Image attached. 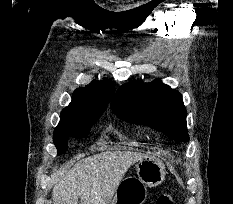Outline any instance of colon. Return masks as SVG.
Here are the masks:
<instances>
[{
    "label": "colon",
    "mask_w": 233,
    "mask_h": 204,
    "mask_svg": "<svg viewBox=\"0 0 233 204\" xmlns=\"http://www.w3.org/2000/svg\"><path fill=\"white\" fill-rule=\"evenodd\" d=\"M156 204H173L172 197L168 193H162L158 196Z\"/></svg>",
    "instance_id": "obj_1"
}]
</instances>
